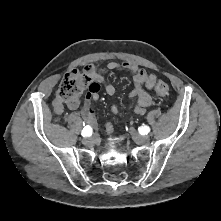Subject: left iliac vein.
<instances>
[{
    "instance_id": "obj_1",
    "label": "left iliac vein",
    "mask_w": 221,
    "mask_h": 221,
    "mask_svg": "<svg viewBox=\"0 0 221 221\" xmlns=\"http://www.w3.org/2000/svg\"><path fill=\"white\" fill-rule=\"evenodd\" d=\"M129 132L133 138V140L137 143V144H146L149 142L150 138L149 136H145V135H140L134 128H130Z\"/></svg>"
}]
</instances>
